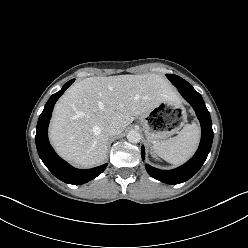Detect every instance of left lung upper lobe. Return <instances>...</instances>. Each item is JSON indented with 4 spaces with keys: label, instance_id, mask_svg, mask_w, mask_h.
<instances>
[{
    "label": "left lung upper lobe",
    "instance_id": "5c2ea615",
    "mask_svg": "<svg viewBox=\"0 0 248 248\" xmlns=\"http://www.w3.org/2000/svg\"><path fill=\"white\" fill-rule=\"evenodd\" d=\"M168 79L172 82L174 86L178 89H192L193 87L184 79L174 74H167Z\"/></svg>",
    "mask_w": 248,
    "mask_h": 248
}]
</instances>
